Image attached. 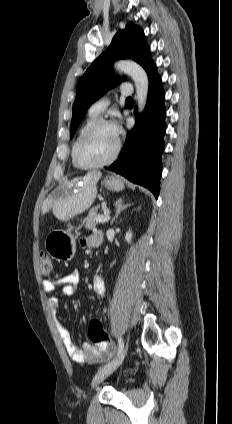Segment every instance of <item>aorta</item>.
Instances as JSON below:
<instances>
[{
	"instance_id": "1",
	"label": "aorta",
	"mask_w": 232,
	"mask_h": 424,
	"mask_svg": "<svg viewBox=\"0 0 232 424\" xmlns=\"http://www.w3.org/2000/svg\"><path fill=\"white\" fill-rule=\"evenodd\" d=\"M116 69L128 74L134 81L137 92V106L139 112L145 108L148 95L149 81L145 70L137 63L128 60H121L115 64Z\"/></svg>"
}]
</instances>
